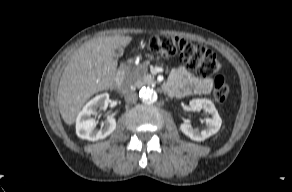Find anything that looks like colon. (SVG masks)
Masks as SVG:
<instances>
[{
	"label": "colon",
	"mask_w": 292,
	"mask_h": 192,
	"mask_svg": "<svg viewBox=\"0 0 292 192\" xmlns=\"http://www.w3.org/2000/svg\"><path fill=\"white\" fill-rule=\"evenodd\" d=\"M149 50L162 57L178 55L185 65L196 71L203 78L209 77L223 68V63L217 55L204 45L191 42L184 38L155 35L147 43ZM230 94V85L222 76H217L213 83V96L219 103L227 100Z\"/></svg>",
	"instance_id": "1"
}]
</instances>
